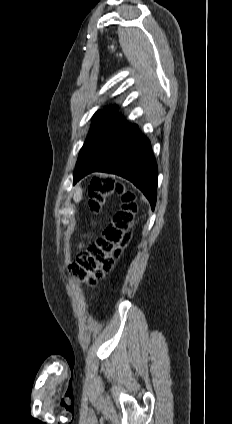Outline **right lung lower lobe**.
<instances>
[{"instance_id":"1","label":"right lung lower lobe","mask_w":232,"mask_h":424,"mask_svg":"<svg viewBox=\"0 0 232 424\" xmlns=\"http://www.w3.org/2000/svg\"><path fill=\"white\" fill-rule=\"evenodd\" d=\"M107 172L131 181L154 209L157 195V164L150 141L135 124H125L105 142L84 170L74 177V184L91 172Z\"/></svg>"}]
</instances>
